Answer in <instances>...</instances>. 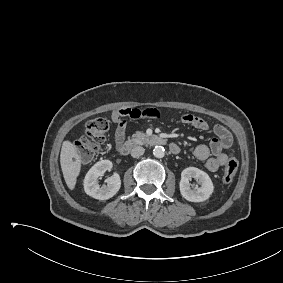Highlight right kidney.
Returning a JSON list of instances; mask_svg holds the SVG:
<instances>
[{
	"mask_svg": "<svg viewBox=\"0 0 283 283\" xmlns=\"http://www.w3.org/2000/svg\"><path fill=\"white\" fill-rule=\"evenodd\" d=\"M112 162L109 160H102L97 162L87 172L84 179L85 193L95 199L107 200L113 197L121 187V179L118 174L107 179V185L99 186L97 179L102 177L106 171H110Z\"/></svg>",
	"mask_w": 283,
	"mask_h": 283,
	"instance_id": "right-kidney-1",
	"label": "right kidney"
}]
</instances>
